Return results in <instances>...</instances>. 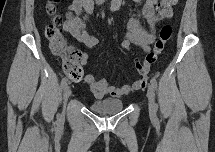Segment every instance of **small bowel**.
Wrapping results in <instances>:
<instances>
[{
  "instance_id": "c3829d8e",
  "label": "small bowel",
  "mask_w": 215,
  "mask_h": 152,
  "mask_svg": "<svg viewBox=\"0 0 215 152\" xmlns=\"http://www.w3.org/2000/svg\"><path fill=\"white\" fill-rule=\"evenodd\" d=\"M156 5V0H145L142 6V14L147 20L150 30L145 29L135 17L129 19L127 32L121 43L123 49L129 50L131 47L136 46L142 48L146 52L149 51L150 45L155 39L154 13ZM92 11L93 2L91 0H74L68 6L69 16L63 26L64 30L77 39L86 49H93L98 46L100 42L96 36L90 34L86 30V21L88 15L91 14ZM86 59L87 53L84 52L82 58L83 64L86 62ZM136 61L138 62V59H136ZM147 80L148 77L145 74L142 78L135 80L131 84L112 86L106 79H97L91 74H83L80 79L74 81L85 82L90 87L95 97L103 98L105 96L119 97L134 90H139L146 85Z\"/></svg>"
}]
</instances>
